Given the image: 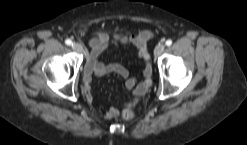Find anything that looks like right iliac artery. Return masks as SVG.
Listing matches in <instances>:
<instances>
[{
  "mask_svg": "<svg viewBox=\"0 0 247 145\" xmlns=\"http://www.w3.org/2000/svg\"><path fill=\"white\" fill-rule=\"evenodd\" d=\"M65 43L67 44V45H73V43H72V41L70 40V39H67V40H65Z\"/></svg>",
  "mask_w": 247,
  "mask_h": 145,
  "instance_id": "right-iliac-artery-1",
  "label": "right iliac artery"
}]
</instances>
